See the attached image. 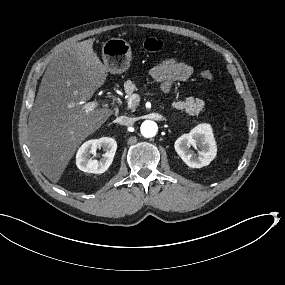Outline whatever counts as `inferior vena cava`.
Returning a JSON list of instances; mask_svg holds the SVG:
<instances>
[{"instance_id":"602c4592","label":"inferior vena cava","mask_w":285,"mask_h":285,"mask_svg":"<svg viewBox=\"0 0 285 285\" xmlns=\"http://www.w3.org/2000/svg\"><path fill=\"white\" fill-rule=\"evenodd\" d=\"M119 120H120V124L125 125V126H132L135 123V118L128 117V116H121Z\"/></svg>"}]
</instances>
